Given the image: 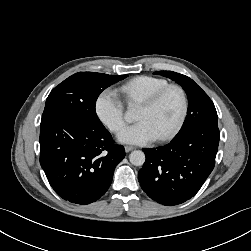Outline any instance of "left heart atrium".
<instances>
[{
  "instance_id": "left-heart-atrium-1",
  "label": "left heart atrium",
  "mask_w": 251,
  "mask_h": 251,
  "mask_svg": "<svg viewBox=\"0 0 251 251\" xmlns=\"http://www.w3.org/2000/svg\"><path fill=\"white\" fill-rule=\"evenodd\" d=\"M156 138L157 136L152 127L145 120L138 121L131 126L123 128L118 135V139L121 142L136 145L150 143L156 140Z\"/></svg>"
}]
</instances>
